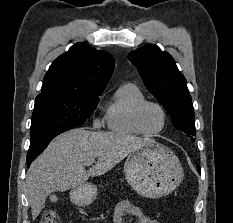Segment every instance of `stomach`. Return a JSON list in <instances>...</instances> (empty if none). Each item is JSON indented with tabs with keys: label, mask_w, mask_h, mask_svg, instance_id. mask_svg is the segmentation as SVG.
I'll list each match as a JSON object with an SVG mask.
<instances>
[{
	"label": "stomach",
	"mask_w": 233,
	"mask_h": 223,
	"mask_svg": "<svg viewBox=\"0 0 233 223\" xmlns=\"http://www.w3.org/2000/svg\"><path fill=\"white\" fill-rule=\"evenodd\" d=\"M124 175L131 189L142 197L157 199L170 193L184 177L183 167L174 151L156 143L146 141L137 151L128 153L124 163ZM99 195L95 183L85 181L70 191V201L80 207L93 203Z\"/></svg>",
	"instance_id": "1"
}]
</instances>
